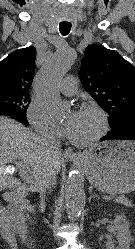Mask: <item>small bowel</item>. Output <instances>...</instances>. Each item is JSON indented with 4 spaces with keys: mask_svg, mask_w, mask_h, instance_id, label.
Returning <instances> with one entry per match:
<instances>
[{
    "mask_svg": "<svg viewBox=\"0 0 135 249\" xmlns=\"http://www.w3.org/2000/svg\"><path fill=\"white\" fill-rule=\"evenodd\" d=\"M16 211L13 207L0 206V235L9 242L12 249H18L16 242L17 225L15 223Z\"/></svg>",
    "mask_w": 135,
    "mask_h": 249,
    "instance_id": "c3829d8e",
    "label": "small bowel"
}]
</instances>
